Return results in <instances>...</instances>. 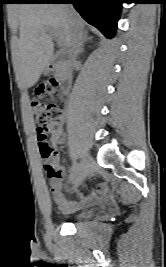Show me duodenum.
<instances>
[{"label":"duodenum","mask_w":166,"mask_h":267,"mask_svg":"<svg viewBox=\"0 0 166 267\" xmlns=\"http://www.w3.org/2000/svg\"><path fill=\"white\" fill-rule=\"evenodd\" d=\"M47 68L49 71L54 72L60 80L63 93H68L72 83V73L69 65L64 62L51 59L48 61Z\"/></svg>","instance_id":"410a0bca"}]
</instances>
